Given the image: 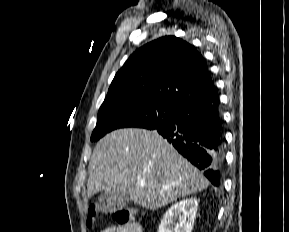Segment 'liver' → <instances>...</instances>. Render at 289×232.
Wrapping results in <instances>:
<instances>
[{
    "label": "liver",
    "instance_id": "1",
    "mask_svg": "<svg viewBox=\"0 0 289 232\" xmlns=\"http://www.w3.org/2000/svg\"><path fill=\"white\" fill-rule=\"evenodd\" d=\"M207 187L203 174L157 131L115 130L97 143L89 163L88 197L120 189L134 204L150 210Z\"/></svg>",
    "mask_w": 289,
    "mask_h": 232
}]
</instances>
